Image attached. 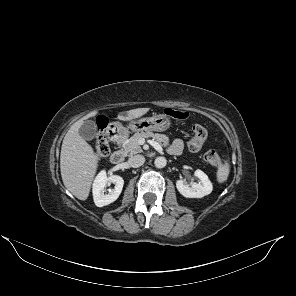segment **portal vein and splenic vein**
<instances>
[{
    "instance_id": "portal-vein-and-splenic-vein-1",
    "label": "portal vein and splenic vein",
    "mask_w": 296,
    "mask_h": 296,
    "mask_svg": "<svg viewBox=\"0 0 296 296\" xmlns=\"http://www.w3.org/2000/svg\"><path fill=\"white\" fill-rule=\"evenodd\" d=\"M149 143H150L151 145H153L154 147H156L157 149H160V148H161L160 145H158L156 142H154V141H152V140H149Z\"/></svg>"
}]
</instances>
